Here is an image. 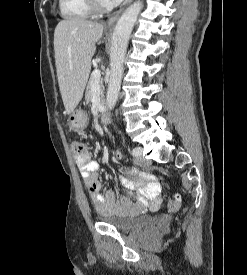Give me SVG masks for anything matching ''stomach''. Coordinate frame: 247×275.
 Segmentation results:
<instances>
[{
	"label": "stomach",
	"instance_id": "0dacf381",
	"mask_svg": "<svg viewBox=\"0 0 247 275\" xmlns=\"http://www.w3.org/2000/svg\"><path fill=\"white\" fill-rule=\"evenodd\" d=\"M69 125L72 129L82 131L87 126V116L80 110H74L69 116Z\"/></svg>",
	"mask_w": 247,
	"mask_h": 275
}]
</instances>
